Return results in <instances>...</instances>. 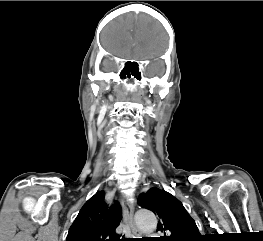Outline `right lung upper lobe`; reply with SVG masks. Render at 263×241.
I'll return each instance as SVG.
<instances>
[{"mask_svg": "<svg viewBox=\"0 0 263 241\" xmlns=\"http://www.w3.org/2000/svg\"><path fill=\"white\" fill-rule=\"evenodd\" d=\"M104 191L97 192L81 208L66 241H121L115 233L122 210L118 202L108 206Z\"/></svg>", "mask_w": 263, "mask_h": 241, "instance_id": "cb5924a9", "label": "right lung upper lobe"}]
</instances>
